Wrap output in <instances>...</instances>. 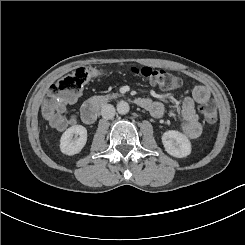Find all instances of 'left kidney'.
<instances>
[{
    "mask_svg": "<svg viewBox=\"0 0 245 245\" xmlns=\"http://www.w3.org/2000/svg\"><path fill=\"white\" fill-rule=\"evenodd\" d=\"M162 143L168 154L183 158L191 153V143L187 136L179 131L169 130L162 135Z\"/></svg>",
    "mask_w": 245,
    "mask_h": 245,
    "instance_id": "left-kidney-1",
    "label": "left kidney"
}]
</instances>
